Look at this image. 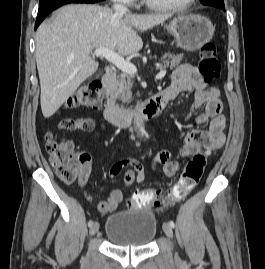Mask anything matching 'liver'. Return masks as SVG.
Masks as SVG:
<instances>
[{
    "instance_id": "1",
    "label": "liver",
    "mask_w": 265,
    "mask_h": 269,
    "mask_svg": "<svg viewBox=\"0 0 265 269\" xmlns=\"http://www.w3.org/2000/svg\"><path fill=\"white\" fill-rule=\"evenodd\" d=\"M167 14H116L107 7L70 4L36 32V63L44 117L52 116L99 64L93 49L108 48L121 55L140 51L137 31H147L169 19Z\"/></svg>"
}]
</instances>
